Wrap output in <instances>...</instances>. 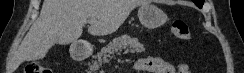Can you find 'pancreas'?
I'll return each mask as SVG.
<instances>
[{"label":"pancreas","mask_w":244,"mask_h":73,"mask_svg":"<svg viewBox=\"0 0 244 73\" xmlns=\"http://www.w3.org/2000/svg\"><path fill=\"white\" fill-rule=\"evenodd\" d=\"M123 50L125 53L145 52L143 44H141L138 39L132 38L128 35H123L113 39L112 42H110L106 47L101 49L96 56H94V65L97 67L108 63L115 54H119Z\"/></svg>","instance_id":"pancreas-1"}]
</instances>
